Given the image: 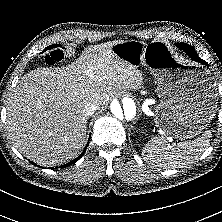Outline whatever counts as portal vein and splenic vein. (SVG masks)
Here are the masks:
<instances>
[{"mask_svg": "<svg viewBox=\"0 0 222 222\" xmlns=\"http://www.w3.org/2000/svg\"><path fill=\"white\" fill-rule=\"evenodd\" d=\"M167 140H168L170 143H173V138H172V136H169V137L167 138Z\"/></svg>", "mask_w": 222, "mask_h": 222, "instance_id": "1", "label": "portal vein and splenic vein"}]
</instances>
